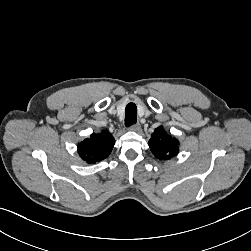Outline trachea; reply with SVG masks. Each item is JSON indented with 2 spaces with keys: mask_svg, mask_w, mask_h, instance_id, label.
<instances>
[{
  "mask_svg": "<svg viewBox=\"0 0 251 251\" xmlns=\"http://www.w3.org/2000/svg\"><path fill=\"white\" fill-rule=\"evenodd\" d=\"M137 121V107L134 103L130 102L125 108V126L130 127Z\"/></svg>",
  "mask_w": 251,
  "mask_h": 251,
  "instance_id": "3493384b",
  "label": "trachea"
}]
</instances>
